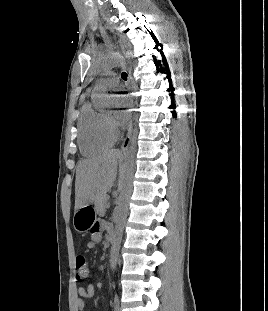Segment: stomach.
I'll list each match as a JSON object with an SVG mask.
<instances>
[{
	"mask_svg": "<svg viewBox=\"0 0 268 311\" xmlns=\"http://www.w3.org/2000/svg\"><path fill=\"white\" fill-rule=\"evenodd\" d=\"M95 222V212L90 205L77 209L73 216L74 229L79 232H87Z\"/></svg>",
	"mask_w": 268,
	"mask_h": 311,
	"instance_id": "stomach-1",
	"label": "stomach"
}]
</instances>
